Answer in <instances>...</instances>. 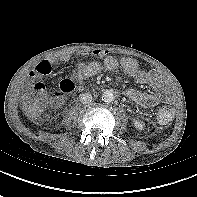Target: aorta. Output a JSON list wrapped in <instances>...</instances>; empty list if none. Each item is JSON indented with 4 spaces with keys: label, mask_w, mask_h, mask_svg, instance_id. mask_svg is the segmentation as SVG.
Listing matches in <instances>:
<instances>
[{
    "label": "aorta",
    "mask_w": 197,
    "mask_h": 197,
    "mask_svg": "<svg viewBox=\"0 0 197 197\" xmlns=\"http://www.w3.org/2000/svg\"><path fill=\"white\" fill-rule=\"evenodd\" d=\"M102 100L105 103H111L114 101V93L112 90H105L102 94Z\"/></svg>",
    "instance_id": "1"
}]
</instances>
